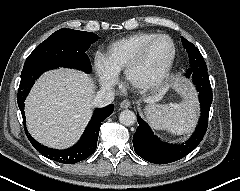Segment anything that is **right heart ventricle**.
Wrapping results in <instances>:
<instances>
[{
  "label": "right heart ventricle",
  "instance_id": "e07e8e85",
  "mask_svg": "<svg viewBox=\"0 0 240 191\" xmlns=\"http://www.w3.org/2000/svg\"><path fill=\"white\" fill-rule=\"evenodd\" d=\"M156 35L158 34L152 32H139L112 42L106 56L114 70L117 73L125 72L143 46Z\"/></svg>",
  "mask_w": 240,
  "mask_h": 191
}]
</instances>
